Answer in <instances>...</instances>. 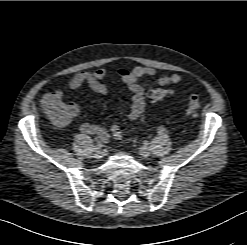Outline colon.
Wrapping results in <instances>:
<instances>
[{"label":"colon","mask_w":247,"mask_h":245,"mask_svg":"<svg viewBox=\"0 0 247 245\" xmlns=\"http://www.w3.org/2000/svg\"><path fill=\"white\" fill-rule=\"evenodd\" d=\"M169 95V91L162 87H156L148 92L150 100L153 102L160 101ZM200 106L199 97L196 94H192L189 97V113L195 116ZM50 119L57 125H64L69 120V111L67 103L64 101L51 100L44 108ZM113 136L121 140L122 130L119 125L113 123L110 126Z\"/></svg>","instance_id":"1"}]
</instances>
